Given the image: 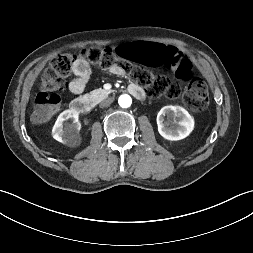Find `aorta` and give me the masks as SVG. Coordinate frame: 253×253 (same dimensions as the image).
I'll use <instances>...</instances> for the list:
<instances>
[{
	"label": "aorta",
	"mask_w": 253,
	"mask_h": 253,
	"mask_svg": "<svg viewBox=\"0 0 253 253\" xmlns=\"http://www.w3.org/2000/svg\"><path fill=\"white\" fill-rule=\"evenodd\" d=\"M118 103L122 108H128L132 104V99L129 95L123 94L118 98Z\"/></svg>",
	"instance_id": "obj_1"
}]
</instances>
